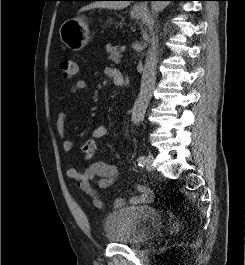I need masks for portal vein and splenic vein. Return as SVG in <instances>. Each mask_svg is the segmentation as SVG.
<instances>
[{
  "label": "portal vein and splenic vein",
  "mask_w": 245,
  "mask_h": 265,
  "mask_svg": "<svg viewBox=\"0 0 245 265\" xmlns=\"http://www.w3.org/2000/svg\"><path fill=\"white\" fill-rule=\"evenodd\" d=\"M125 49H126V47H125V46H121V48H120V50H121L122 52H124V51H125Z\"/></svg>",
  "instance_id": "obj_1"
}]
</instances>
